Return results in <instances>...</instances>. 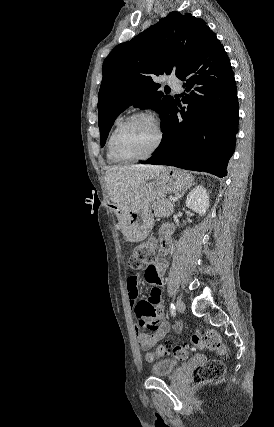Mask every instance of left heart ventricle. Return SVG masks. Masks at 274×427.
I'll use <instances>...</instances> for the list:
<instances>
[{"instance_id":"left-heart-ventricle-1","label":"left heart ventricle","mask_w":274,"mask_h":427,"mask_svg":"<svg viewBox=\"0 0 274 427\" xmlns=\"http://www.w3.org/2000/svg\"><path fill=\"white\" fill-rule=\"evenodd\" d=\"M158 131L147 119H136L124 126L116 136V148L126 157L147 154L156 144Z\"/></svg>"}]
</instances>
